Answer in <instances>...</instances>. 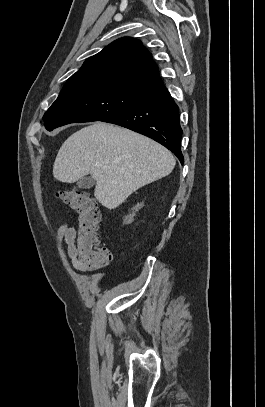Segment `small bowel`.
Returning a JSON list of instances; mask_svg holds the SVG:
<instances>
[{
  "instance_id": "obj_1",
  "label": "small bowel",
  "mask_w": 265,
  "mask_h": 407,
  "mask_svg": "<svg viewBox=\"0 0 265 407\" xmlns=\"http://www.w3.org/2000/svg\"><path fill=\"white\" fill-rule=\"evenodd\" d=\"M58 237L66 246L67 255L71 259L72 265L76 270L87 272V269L82 266L77 258H76V250H75V238H76V228L74 226H68L66 224L61 225L58 227Z\"/></svg>"
}]
</instances>
